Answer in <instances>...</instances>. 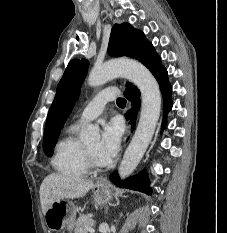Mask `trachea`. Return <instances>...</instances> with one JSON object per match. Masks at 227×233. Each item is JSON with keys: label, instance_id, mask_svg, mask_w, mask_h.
<instances>
[{"label": "trachea", "instance_id": "trachea-1", "mask_svg": "<svg viewBox=\"0 0 227 233\" xmlns=\"http://www.w3.org/2000/svg\"><path fill=\"white\" fill-rule=\"evenodd\" d=\"M116 102L117 105L121 107L126 105V100L124 98H118Z\"/></svg>", "mask_w": 227, "mask_h": 233}]
</instances>
